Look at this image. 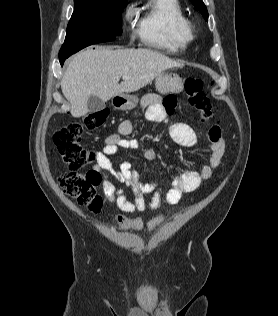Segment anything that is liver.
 <instances>
[{"mask_svg":"<svg viewBox=\"0 0 278 316\" xmlns=\"http://www.w3.org/2000/svg\"><path fill=\"white\" fill-rule=\"evenodd\" d=\"M182 64L151 49L97 47L78 53L69 63L61 89L71 104L73 117L86 115L90 95L104 102L115 95L138 91L166 69ZM123 79L119 84V78Z\"/></svg>","mask_w":278,"mask_h":316,"instance_id":"1","label":"liver"}]
</instances>
